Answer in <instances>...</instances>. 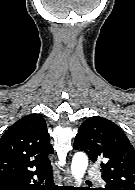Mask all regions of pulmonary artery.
<instances>
[{"label": "pulmonary artery", "instance_id": "obj_1", "mask_svg": "<svg viewBox=\"0 0 135 190\" xmlns=\"http://www.w3.org/2000/svg\"><path fill=\"white\" fill-rule=\"evenodd\" d=\"M87 175L91 178H99L100 177V172L94 168V167H91L88 169L87 171Z\"/></svg>", "mask_w": 135, "mask_h": 190}]
</instances>
